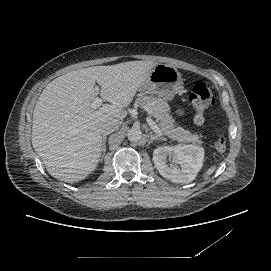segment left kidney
Segmentation results:
<instances>
[{
    "label": "left kidney",
    "mask_w": 271,
    "mask_h": 271,
    "mask_svg": "<svg viewBox=\"0 0 271 271\" xmlns=\"http://www.w3.org/2000/svg\"><path fill=\"white\" fill-rule=\"evenodd\" d=\"M203 157V148L199 146H160L153 152V163L165 179L187 184L194 180L201 169Z\"/></svg>",
    "instance_id": "5707ae66"
}]
</instances>
